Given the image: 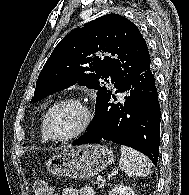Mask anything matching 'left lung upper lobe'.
I'll list each match as a JSON object with an SVG mask.
<instances>
[{"mask_svg":"<svg viewBox=\"0 0 189 195\" xmlns=\"http://www.w3.org/2000/svg\"><path fill=\"white\" fill-rule=\"evenodd\" d=\"M150 63L138 27L119 14L104 15L76 28L59 42L38 76L31 101L79 84L98 90L96 113L113 94L103 81H111L118 88Z\"/></svg>","mask_w":189,"mask_h":195,"instance_id":"5c2ea615","label":"left lung upper lobe"}]
</instances>
